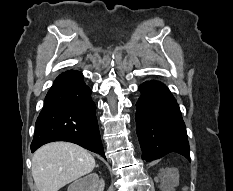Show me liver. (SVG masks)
Masks as SVG:
<instances>
[{"label":"liver","mask_w":233,"mask_h":191,"mask_svg":"<svg viewBox=\"0 0 233 191\" xmlns=\"http://www.w3.org/2000/svg\"><path fill=\"white\" fill-rule=\"evenodd\" d=\"M94 167V157L84 148L69 142L46 144L32 157V176L38 191H58L92 172Z\"/></svg>","instance_id":"6515ba94"}]
</instances>
